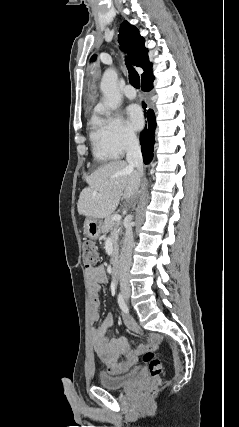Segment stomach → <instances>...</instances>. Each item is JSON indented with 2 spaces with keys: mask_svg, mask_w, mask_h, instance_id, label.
Segmentation results:
<instances>
[{
  "mask_svg": "<svg viewBox=\"0 0 239 427\" xmlns=\"http://www.w3.org/2000/svg\"><path fill=\"white\" fill-rule=\"evenodd\" d=\"M84 232L91 240H97L102 233V221L91 217L86 218Z\"/></svg>",
  "mask_w": 239,
  "mask_h": 427,
  "instance_id": "stomach-1",
  "label": "stomach"
}]
</instances>
